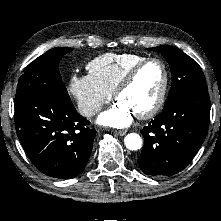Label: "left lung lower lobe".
<instances>
[{
  "mask_svg": "<svg viewBox=\"0 0 221 221\" xmlns=\"http://www.w3.org/2000/svg\"><path fill=\"white\" fill-rule=\"evenodd\" d=\"M208 91L193 92L164 109L142 130L144 146L138 165L152 176L183 170L200 149L209 127Z\"/></svg>",
  "mask_w": 221,
  "mask_h": 221,
  "instance_id": "obj_1",
  "label": "left lung lower lobe"
}]
</instances>
